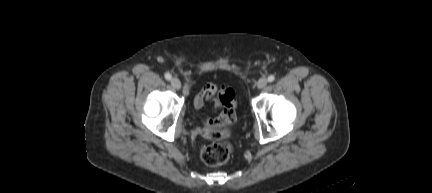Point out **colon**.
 Here are the masks:
<instances>
[{
	"mask_svg": "<svg viewBox=\"0 0 432 193\" xmlns=\"http://www.w3.org/2000/svg\"><path fill=\"white\" fill-rule=\"evenodd\" d=\"M219 102L224 108L234 110L237 104L235 92L230 88H221L219 92ZM231 150L232 147L229 142L219 140L205 146L202 149L201 157L205 164L218 166L229 160Z\"/></svg>",
	"mask_w": 432,
	"mask_h": 193,
	"instance_id": "5ec220e1",
	"label": "colon"
}]
</instances>
